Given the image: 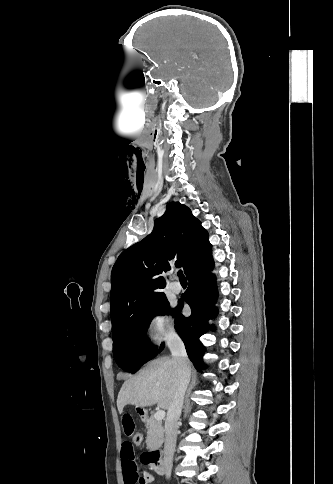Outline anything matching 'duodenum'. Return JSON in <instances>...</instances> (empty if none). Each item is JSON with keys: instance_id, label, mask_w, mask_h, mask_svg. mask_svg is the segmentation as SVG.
Here are the masks:
<instances>
[{"instance_id": "1", "label": "duodenum", "mask_w": 333, "mask_h": 484, "mask_svg": "<svg viewBox=\"0 0 333 484\" xmlns=\"http://www.w3.org/2000/svg\"><path fill=\"white\" fill-rule=\"evenodd\" d=\"M148 457L152 462L154 471L159 475H163L165 473V466L161 458V451L153 450L149 453Z\"/></svg>"}]
</instances>
